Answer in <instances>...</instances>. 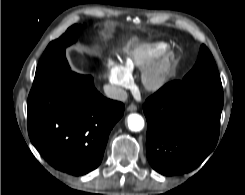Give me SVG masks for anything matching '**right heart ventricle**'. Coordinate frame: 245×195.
<instances>
[{"label":"right heart ventricle","mask_w":245,"mask_h":195,"mask_svg":"<svg viewBox=\"0 0 245 195\" xmlns=\"http://www.w3.org/2000/svg\"><path fill=\"white\" fill-rule=\"evenodd\" d=\"M168 45L165 43H157L145 46L142 49L133 51L121 59L120 67L128 74L138 67L145 65L160 54L166 51Z\"/></svg>","instance_id":"e07e8e85"}]
</instances>
